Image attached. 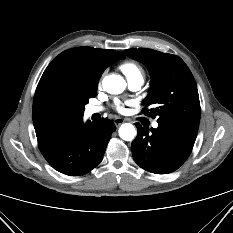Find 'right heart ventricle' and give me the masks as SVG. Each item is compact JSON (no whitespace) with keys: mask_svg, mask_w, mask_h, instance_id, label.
<instances>
[{"mask_svg":"<svg viewBox=\"0 0 233 233\" xmlns=\"http://www.w3.org/2000/svg\"><path fill=\"white\" fill-rule=\"evenodd\" d=\"M121 71L125 74L128 80L134 79H143L144 80V70L143 68L133 62V61H126L120 65Z\"/></svg>","mask_w":233,"mask_h":233,"instance_id":"e07e8e85","label":"right heart ventricle"}]
</instances>
